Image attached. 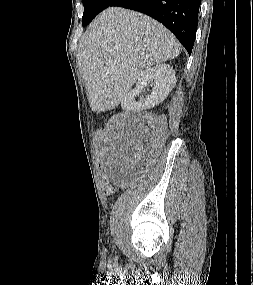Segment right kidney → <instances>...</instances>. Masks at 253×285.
I'll list each match as a JSON object with an SVG mask.
<instances>
[{
  "mask_svg": "<svg viewBox=\"0 0 253 285\" xmlns=\"http://www.w3.org/2000/svg\"><path fill=\"white\" fill-rule=\"evenodd\" d=\"M149 83L152 87L151 94L136 102L135 96ZM175 84L176 77L173 68L167 64H158L141 74L136 87L124 96L121 105L127 111L137 112L153 108L165 100Z\"/></svg>",
  "mask_w": 253,
  "mask_h": 285,
  "instance_id": "obj_1",
  "label": "right kidney"
}]
</instances>
